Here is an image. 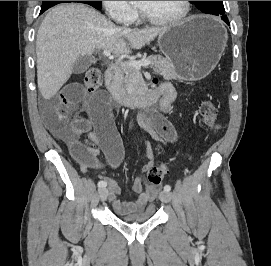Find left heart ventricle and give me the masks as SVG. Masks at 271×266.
<instances>
[{
    "label": "left heart ventricle",
    "instance_id": "left-heart-ventricle-1",
    "mask_svg": "<svg viewBox=\"0 0 271 266\" xmlns=\"http://www.w3.org/2000/svg\"><path fill=\"white\" fill-rule=\"evenodd\" d=\"M140 7L159 19L172 18L183 10L182 1H140Z\"/></svg>",
    "mask_w": 271,
    "mask_h": 266
}]
</instances>
